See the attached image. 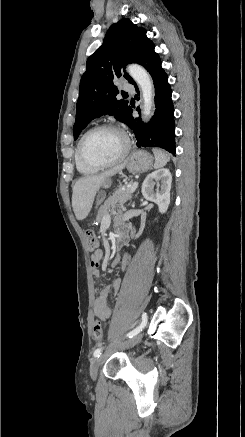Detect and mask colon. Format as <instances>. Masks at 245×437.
<instances>
[{
	"label": "colon",
	"instance_id": "colon-1",
	"mask_svg": "<svg viewBox=\"0 0 245 437\" xmlns=\"http://www.w3.org/2000/svg\"><path fill=\"white\" fill-rule=\"evenodd\" d=\"M86 235V244L90 251H94L98 247V240L95 236V233L92 229H87L85 231ZM93 339L96 342H100L103 338V328L102 325L99 322H96L93 327Z\"/></svg>",
	"mask_w": 245,
	"mask_h": 437
}]
</instances>
